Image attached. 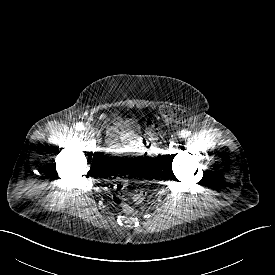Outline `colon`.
Masks as SVG:
<instances>
[{
    "label": "colon",
    "mask_w": 275,
    "mask_h": 275,
    "mask_svg": "<svg viewBox=\"0 0 275 275\" xmlns=\"http://www.w3.org/2000/svg\"><path fill=\"white\" fill-rule=\"evenodd\" d=\"M161 115L165 119L174 123H182L187 117L186 111L179 106H165L161 109ZM157 136V130L150 129V132L145 139V145L148 148H152ZM112 188L114 203L120 206L127 213H134V209L128 203V199H131L134 202H142L147 196L143 189H138L134 192L128 193L127 173L123 169L116 172Z\"/></svg>",
    "instance_id": "1"
}]
</instances>
